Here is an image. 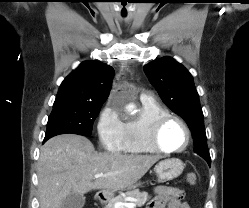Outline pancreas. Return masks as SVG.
<instances>
[{"mask_svg": "<svg viewBox=\"0 0 249 208\" xmlns=\"http://www.w3.org/2000/svg\"><path fill=\"white\" fill-rule=\"evenodd\" d=\"M126 197L134 198L133 202L137 207H142L149 199L147 192H140L138 189L127 191L124 196H117L110 198L105 208H115L114 205L116 202H125Z\"/></svg>", "mask_w": 249, "mask_h": 208, "instance_id": "1", "label": "pancreas"}]
</instances>
